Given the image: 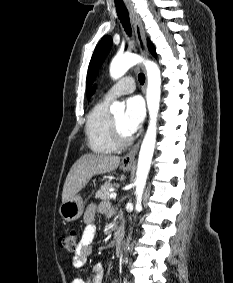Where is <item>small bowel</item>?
<instances>
[{"label":"small bowel","instance_id":"1","mask_svg":"<svg viewBox=\"0 0 233 283\" xmlns=\"http://www.w3.org/2000/svg\"><path fill=\"white\" fill-rule=\"evenodd\" d=\"M98 213L104 215L110 214L109 205L106 203L90 204L84 214V230L78 247L75 250L73 257V266L75 268H81L85 265L87 258L93 251V241L96 235V225L94 223L95 217ZM103 282V267L101 264H96L93 267L92 275L88 281H85L81 277H75L72 283H102ZM112 283H116L113 281Z\"/></svg>","mask_w":233,"mask_h":283}]
</instances>
